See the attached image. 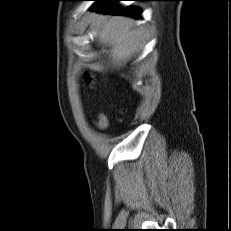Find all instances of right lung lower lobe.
Instances as JSON below:
<instances>
[{
	"mask_svg": "<svg viewBox=\"0 0 231 231\" xmlns=\"http://www.w3.org/2000/svg\"><path fill=\"white\" fill-rule=\"evenodd\" d=\"M100 2H107L106 5L100 6L96 10L104 13H116V14H126L134 17H140V13L132 8H121L119 9L116 5L118 1L121 0H94Z\"/></svg>",
	"mask_w": 231,
	"mask_h": 231,
	"instance_id": "1",
	"label": "right lung lower lobe"
}]
</instances>
